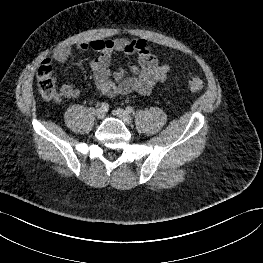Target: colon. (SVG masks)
<instances>
[{
  "label": "colon",
  "mask_w": 263,
  "mask_h": 263,
  "mask_svg": "<svg viewBox=\"0 0 263 263\" xmlns=\"http://www.w3.org/2000/svg\"><path fill=\"white\" fill-rule=\"evenodd\" d=\"M36 78L41 96L47 99L55 97L56 76L49 59L41 63ZM187 85L191 91L198 92L204 87V82L199 76L190 74L187 77Z\"/></svg>",
  "instance_id": "obj_1"
}]
</instances>
